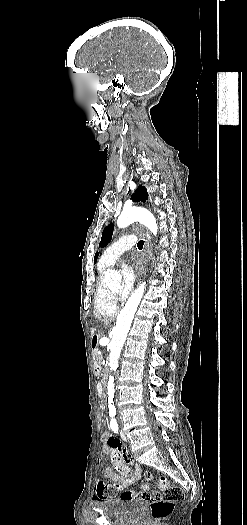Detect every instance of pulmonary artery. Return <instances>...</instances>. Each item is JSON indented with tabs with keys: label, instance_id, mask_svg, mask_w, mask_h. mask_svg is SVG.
I'll return each mask as SVG.
<instances>
[{
	"label": "pulmonary artery",
	"instance_id": "e3ab8cb5",
	"mask_svg": "<svg viewBox=\"0 0 247 525\" xmlns=\"http://www.w3.org/2000/svg\"><path fill=\"white\" fill-rule=\"evenodd\" d=\"M137 242L136 236L122 234L117 237L103 252L102 256L107 264L113 263L124 251L130 249Z\"/></svg>",
	"mask_w": 247,
	"mask_h": 525
}]
</instances>
